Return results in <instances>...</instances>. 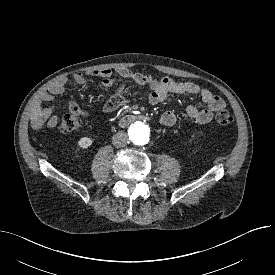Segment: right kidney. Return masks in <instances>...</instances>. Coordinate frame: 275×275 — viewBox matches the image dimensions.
I'll return each instance as SVG.
<instances>
[{"instance_id":"right-kidney-1","label":"right kidney","mask_w":275,"mask_h":275,"mask_svg":"<svg viewBox=\"0 0 275 275\" xmlns=\"http://www.w3.org/2000/svg\"><path fill=\"white\" fill-rule=\"evenodd\" d=\"M93 143V140L88 137H83L78 141V146L82 149L90 147Z\"/></svg>"}]
</instances>
